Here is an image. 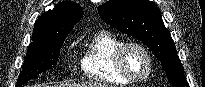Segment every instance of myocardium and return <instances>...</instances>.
Listing matches in <instances>:
<instances>
[{
    "mask_svg": "<svg viewBox=\"0 0 205 87\" xmlns=\"http://www.w3.org/2000/svg\"><path fill=\"white\" fill-rule=\"evenodd\" d=\"M130 47H135L140 49L147 57L148 62H149V69L147 73L144 76L141 77H136L130 74L126 68L124 67L123 63V56L125 51L130 48ZM113 63L115 66V69L117 72L126 80L132 83H139L147 80L151 74L154 71V58L152 56V53L150 50L143 45L142 43L136 42V41H128V42H123L115 51L114 56H113Z\"/></svg>",
    "mask_w": 205,
    "mask_h": 87,
    "instance_id": "myocardium-1",
    "label": "myocardium"
}]
</instances>
